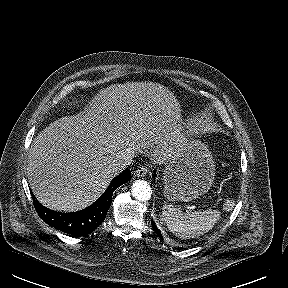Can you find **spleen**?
Masks as SVG:
<instances>
[{
  "label": "spleen",
  "mask_w": 288,
  "mask_h": 288,
  "mask_svg": "<svg viewBox=\"0 0 288 288\" xmlns=\"http://www.w3.org/2000/svg\"><path fill=\"white\" fill-rule=\"evenodd\" d=\"M162 210L167 227L181 239L195 238L207 233L220 217V212L212 209L183 212L173 205H164Z\"/></svg>",
  "instance_id": "3e777b00"
}]
</instances>
